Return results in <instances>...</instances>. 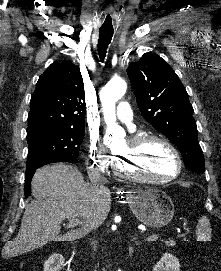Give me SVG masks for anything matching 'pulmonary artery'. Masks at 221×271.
Returning a JSON list of instances; mask_svg holds the SVG:
<instances>
[{"label":"pulmonary artery","instance_id":"1","mask_svg":"<svg viewBox=\"0 0 221 271\" xmlns=\"http://www.w3.org/2000/svg\"><path fill=\"white\" fill-rule=\"evenodd\" d=\"M117 111L111 112V117H118V122H127V127H134L135 117H133V107H128V102H117ZM117 120V119H116ZM136 128H129V133H136Z\"/></svg>","mask_w":221,"mask_h":271}]
</instances>
